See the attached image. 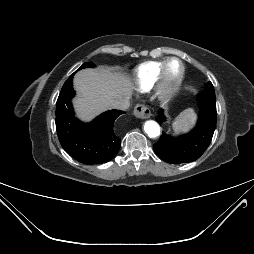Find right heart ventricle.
<instances>
[{"mask_svg": "<svg viewBox=\"0 0 254 254\" xmlns=\"http://www.w3.org/2000/svg\"><path fill=\"white\" fill-rule=\"evenodd\" d=\"M164 62L165 60L149 61L138 66L134 80L140 91H149L157 84L159 72Z\"/></svg>", "mask_w": 254, "mask_h": 254, "instance_id": "obj_1", "label": "right heart ventricle"}]
</instances>
